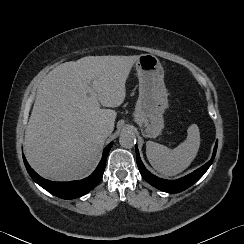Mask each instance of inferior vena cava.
I'll return each instance as SVG.
<instances>
[{
    "instance_id": "inferior-vena-cava-1",
    "label": "inferior vena cava",
    "mask_w": 244,
    "mask_h": 244,
    "mask_svg": "<svg viewBox=\"0 0 244 244\" xmlns=\"http://www.w3.org/2000/svg\"><path fill=\"white\" fill-rule=\"evenodd\" d=\"M99 132L104 136H109L112 133L111 127H109L107 124H102L99 127Z\"/></svg>"
}]
</instances>
